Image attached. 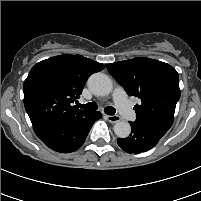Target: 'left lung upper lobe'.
I'll return each instance as SVG.
<instances>
[{"label": "left lung upper lobe", "mask_w": 201, "mask_h": 201, "mask_svg": "<svg viewBox=\"0 0 201 201\" xmlns=\"http://www.w3.org/2000/svg\"><path fill=\"white\" fill-rule=\"evenodd\" d=\"M106 66L129 95L141 99L134 107L136 122L171 127L180 98L178 73L171 65L137 57Z\"/></svg>", "instance_id": "5c2ea615"}]
</instances>
